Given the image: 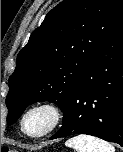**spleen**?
I'll return each instance as SVG.
<instances>
[{"label":"spleen","mask_w":123,"mask_h":152,"mask_svg":"<svg viewBox=\"0 0 123 152\" xmlns=\"http://www.w3.org/2000/svg\"><path fill=\"white\" fill-rule=\"evenodd\" d=\"M66 146L76 152H115L114 147L108 142L86 134L72 137L66 142Z\"/></svg>","instance_id":"spleen-1"}]
</instances>
